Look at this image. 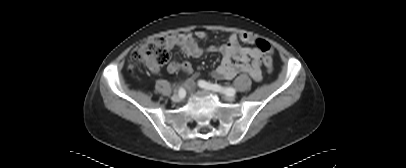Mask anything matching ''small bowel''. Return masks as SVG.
<instances>
[{
    "instance_id": "1",
    "label": "small bowel",
    "mask_w": 406,
    "mask_h": 168,
    "mask_svg": "<svg viewBox=\"0 0 406 168\" xmlns=\"http://www.w3.org/2000/svg\"><path fill=\"white\" fill-rule=\"evenodd\" d=\"M206 33L197 31L194 35L188 33L173 34L166 37V45L169 49L178 47L189 57H200L204 50L199 46L198 41L204 40ZM240 41L246 44H253L256 38L250 34H242L240 37L231 35L225 43L218 46H210L209 51L219 52L222 56L220 65L212 71L216 79L231 80L236 75L248 74L254 81L262 80V55L256 48L241 46ZM152 73H157V65L149 66ZM170 73L184 72L192 74V66L189 62H171L168 65ZM195 85V75H191L184 81V86L192 90Z\"/></svg>"
}]
</instances>
